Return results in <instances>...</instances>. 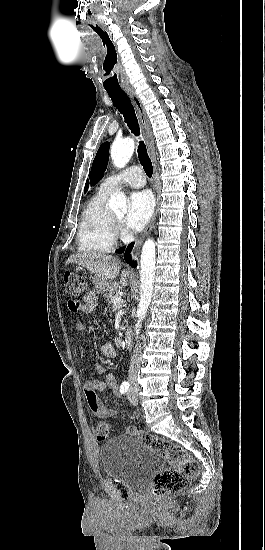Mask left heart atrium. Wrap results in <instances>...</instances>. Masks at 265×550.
<instances>
[{"label":"left heart atrium","mask_w":265,"mask_h":550,"mask_svg":"<svg viewBox=\"0 0 265 550\" xmlns=\"http://www.w3.org/2000/svg\"><path fill=\"white\" fill-rule=\"evenodd\" d=\"M154 203L148 191L135 192L130 196V207L125 217V225L129 230L142 229L150 220Z\"/></svg>","instance_id":"obj_1"}]
</instances>
